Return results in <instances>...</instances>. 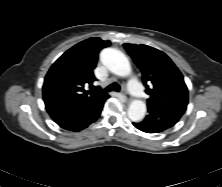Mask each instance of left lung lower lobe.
Masks as SVG:
<instances>
[{"label": "left lung lower lobe", "mask_w": 222, "mask_h": 187, "mask_svg": "<svg viewBox=\"0 0 222 187\" xmlns=\"http://www.w3.org/2000/svg\"><path fill=\"white\" fill-rule=\"evenodd\" d=\"M186 104L157 103L148 105L145 119L133 125L146 133H160L175 125L186 111Z\"/></svg>", "instance_id": "1"}]
</instances>
